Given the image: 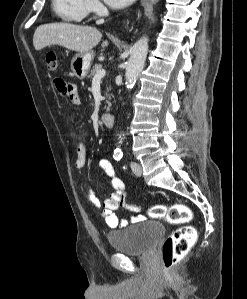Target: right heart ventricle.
<instances>
[{
  "label": "right heart ventricle",
  "instance_id": "1",
  "mask_svg": "<svg viewBox=\"0 0 247 299\" xmlns=\"http://www.w3.org/2000/svg\"><path fill=\"white\" fill-rule=\"evenodd\" d=\"M52 9L66 23L82 22L89 13L88 0H52Z\"/></svg>",
  "mask_w": 247,
  "mask_h": 299
}]
</instances>
